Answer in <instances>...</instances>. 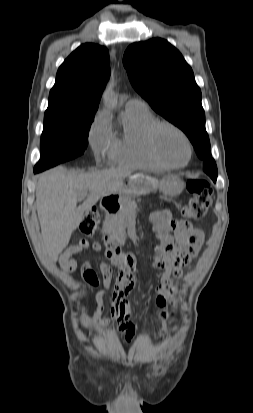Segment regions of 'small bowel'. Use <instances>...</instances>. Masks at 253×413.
<instances>
[{
  "mask_svg": "<svg viewBox=\"0 0 253 413\" xmlns=\"http://www.w3.org/2000/svg\"><path fill=\"white\" fill-rule=\"evenodd\" d=\"M150 220L157 232L160 245L153 258L152 265L157 270H162L160 284L156 292L158 307L165 306L166 296L173 293L172 279H181L183 269L191 267V260L195 257L203 242L204 232L193 227L184 220H175L169 210L154 211ZM88 248L94 252L104 250L99 242L89 243L81 240L77 245L69 247L60 256V265L65 272H74L78 268L76 256ZM107 262L99 266L103 277V286L108 289L112 280V267H118V278L114 284L112 294V315L109 319L102 318V294L97 296V311L93 319H82L81 326L85 331L101 332L102 329L114 322L118 325L119 332L127 342H131L135 336V325L131 322V307L127 301L128 294L137 285V277L134 273V257L127 254L114 255L110 250H104ZM83 278L91 285L98 283V278L89 261H84L80 267Z\"/></svg>",
  "mask_w": 253,
  "mask_h": 413,
  "instance_id": "small-bowel-1",
  "label": "small bowel"
}]
</instances>
